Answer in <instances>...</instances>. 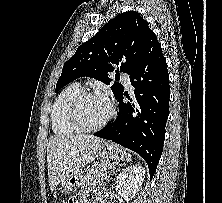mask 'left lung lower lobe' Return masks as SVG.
Here are the masks:
<instances>
[{
    "instance_id": "left-lung-lower-lobe-1",
    "label": "left lung lower lobe",
    "mask_w": 222,
    "mask_h": 203,
    "mask_svg": "<svg viewBox=\"0 0 222 203\" xmlns=\"http://www.w3.org/2000/svg\"><path fill=\"white\" fill-rule=\"evenodd\" d=\"M134 96L123 102L117 97L119 113L95 136L112 140L137 152L147 162L152 178L159 163L169 114V75L166 59L154 32H150L144 52L129 73Z\"/></svg>"
}]
</instances>
